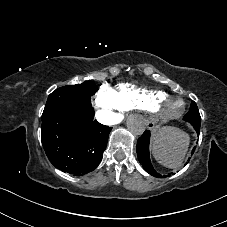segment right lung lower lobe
<instances>
[{"instance_id":"right-lung-lower-lobe-1","label":"right lung lower lobe","mask_w":227,"mask_h":227,"mask_svg":"<svg viewBox=\"0 0 227 227\" xmlns=\"http://www.w3.org/2000/svg\"><path fill=\"white\" fill-rule=\"evenodd\" d=\"M111 129L94 120L92 106H64L42 116L41 141L56 168L83 175L101 162Z\"/></svg>"}]
</instances>
